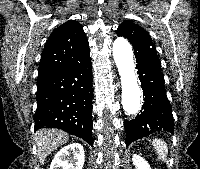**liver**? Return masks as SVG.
Listing matches in <instances>:
<instances>
[{"instance_id":"1","label":"liver","mask_w":200,"mask_h":169,"mask_svg":"<svg viewBox=\"0 0 200 169\" xmlns=\"http://www.w3.org/2000/svg\"><path fill=\"white\" fill-rule=\"evenodd\" d=\"M38 158L44 164L46 157L59 146L69 141V134L58 129H40L35 133Z\"/></svg>"}]
</instances>
